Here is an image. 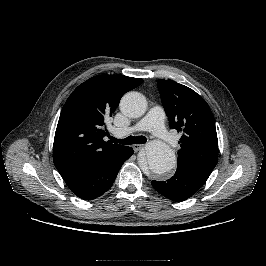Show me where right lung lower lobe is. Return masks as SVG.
I'll list each match as a JSON object with an SVG mask.
<instances>
[{
	"label": "right lung lower lobe",
	"instance_id": "1",
	"mask_svg": "<svg viewBox=\"0 0 266 266\" xmlns=\"http://www.w3.org/2000/svg\"><path fill=\"white\" fill-rule=\"evenodd\" d=\"M132 154L133 149L125 146L114 156L61 176L75 195L83 200H92L104 194L112 186L122 164Z\"/></svg>",
	"mask_w": 266,
	"mask_h": 266
}]
</instances>
